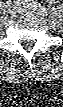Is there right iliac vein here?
<instances>
[{"instance_id":"obj_1","label":"right iliac vein","mask_w":63,"mask_h":107,"mask_svg":"<svg viewBox=\"0 0 63 107\" xmlns=\"http://www.w3.org/2000/svg\"><path fill=\"white\" fill-rule=\"evenodd\" d=\"M8 10H9L10 15H11V16H14V15L16 14V12H17V7L14 6V5H11V6L8 8Z\"/></svg>"}]
</instances>
